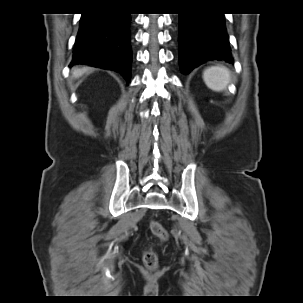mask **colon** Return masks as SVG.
<instances>
[{
  "label": "colon",
  "instance_id": "obj_1",
  "mask_svg": "<svg viewBox=\"0 0 303 303\" xmlns=\"http://www.w3.org/2000/svg\"><path fill=\"white\" fill-rule=\"evenodd\" d=\"M150 228L160 242H166L168 240V231L159 222L152 221ZM142 261L147 268L155 270L158 266V255L156 251L152 247L146 248L142 254Z\"/></svg>",
  "mask_w": 303,
  "mask_h": 303
}]
</instances>
